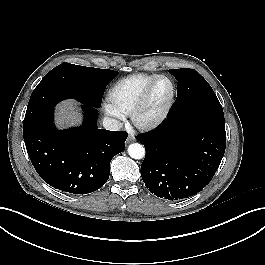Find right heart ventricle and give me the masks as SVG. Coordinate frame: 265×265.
Masks as SVG:
<instances>
[{
    "instance_id": "1",
    "label": "right heart ventricle",
    "mask_w": 265,
    "mask_h": 265,
    "mask_svg": "<svg viewBox=\"0 0 265 265\" xmlns=\"http://www.w3.org/2000/svg\"><path fill=\"white\" fill-rule=\"evenodd\" d=\"M155 74H137L116 82L108 92L107 107L120 115H130L147 85Z\"/></svg>"
}]
</instances>
